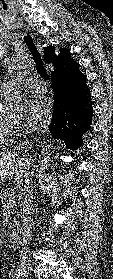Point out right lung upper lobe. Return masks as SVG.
<instances>
[{
    "label": "right lung upper lobe",
    "mask_w": 113,
    "mask_h": 279,
    "mask_svg": "<svg viewBox=\"0 0 113 279\" xmlns=\"http://www.w3.org/2000/svg\"><path fill=\"white\" fill-rule=\"evenodd\" d=\"M44 43V42H43ZM44 56L45 60L48 63L53 64L54 71L52 76H58L64 74L72 69H74L78 63L73 61L70 58V50L69 49H60V55H55V49L52 46H48L44 48Z\"/></svg>",
    "instance_id": "obj_1"
}]
</instances>
